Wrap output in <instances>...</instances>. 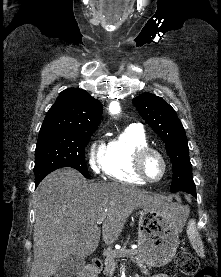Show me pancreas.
<instances>
[{
	"label": "pancreas",
	"instance_id": "obj_1",
	"mask_svg": "<svg viewBox=\"0 0 221 277\" xmlns=\"http://www.w3.org/2000/svg\"><path fill=\"white\" fill-rule=\"evenodd\" d=\"M128 256L133 259L134 263L141 269L147 270V266L139 258L138 250H109L106 254L104 273L106 275L111 274L116 266V259L120 257ZM150 268V267H149Z\"/></svg>",
	"mask_w": 221,
	"mask_h": 277
}]
</instances>
